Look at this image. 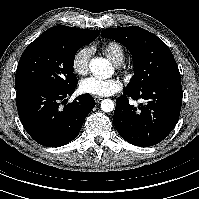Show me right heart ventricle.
<instances>
[{
    "label": "right heart ventricle",
    "mask_w": 199,
    "mask_h": 199,
    "mask_svg": "<svg viewBox=\"0 0 199 199\" xmlns=\"http://www.w3.org/2000/svg\"><path fill=\"white\" fill-rule=\"evenodd\" d=\"M100 49L101 52L116 66L121 65L125 60V50L117 42H108Z\"/></svg>",
    "instance_id": "right-heart-ventricle-1"
}]
</instances>
